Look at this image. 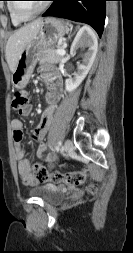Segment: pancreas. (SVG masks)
Returning <instances> with one entry per match:
<instances>
[{"label": "pancreas", "instance_id": "1", "mask_svg": "<svg viewBox=\"0 0 133 253\" xmlns=\"http://www.w3.org/2000/svg\"><path fill=\"white\" fill-rule=\"evenodd\" d=\"M63 56L57 53L55 49H46L42 52V55L39 59L40 64L50 62V63H59L62 60Z\"/></svg>", "mask_w": 133, "mask_h": 253}]
</instances>
